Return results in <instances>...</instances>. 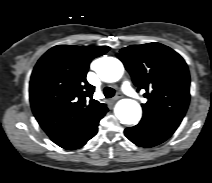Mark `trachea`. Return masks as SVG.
Here are the masks:
<instances>
[{"label":"trachea","mask_w":212,"mask_h":183,"mask_svg":"<svg viewBox=\"0 0 212 183\" xmlns=\"http://www.w3.org/2000/svg\"><path fill=\"white\" fill-rule=\"evenodd\" d=\"M105 98H112L115 95V90L111 87H105L103 90Z\"/></svg>","instance_id":"obj_1"}]
</instances>
